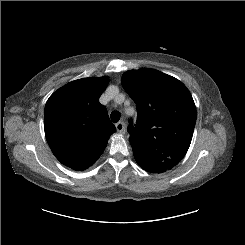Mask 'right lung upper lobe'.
I'll return each mask as SVG.
<instances>
[{
  "label": "right lung upper lobe",
  "instance_id": "obj_1",
  "mask_svg": "<svg viewBox=\"0 0 245 245\" xmlns=\"http://www.w3.org/2000/svg\"><path fill=\"white\" fill-rule=\"evenodd\" d=\"M108 77L83 78L54 92L45 105L44 129L56 158L74 170H85L101 156L115 132L99 97Z\"/></svg>",
  "mask_w": 245,
  "mask_h": 245
}]
</instances>
